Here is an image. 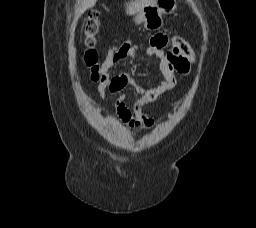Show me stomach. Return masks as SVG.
Masks as SVG:
<instances>
[{
  "instance_id": "obj_1",
  "label": "stomach",
  "mask_w": 256,
  "mask_h": 228,
  "mask_svg": "<svg viewBox=\"0 0 256 228\" xmlns=\"http://www.w3.org/2000/svg\"><path fill=\"white\" fill-rule=\"evenodd\" d=\"M176 7V0H153L137 13L135 23L143 24L147 30H157L163 25L162 15L173 13Z\"/></svg>"
}]
</instances>
